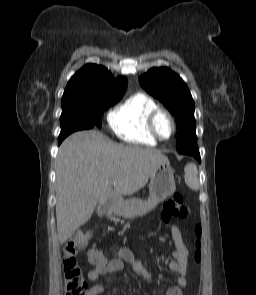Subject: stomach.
Masks as SVG:
<instances>
[{
	"instance_id": "obj_1",
	"label": "stomach",
	"mask_w": 256,
	"mask_h": 295,
	"mask_svg": "<svg viewBox=\"0 0 256 295\" xmlns=\"http://www.w3.org/2000/svg\"><path fill=\"white\" fill-rule=\"evenodd\" d=\"M176 190L174 170L169 160L161 162L149 183V198L145 201L132 199L119 203L113 212L117 216L134 218L153 210L160 202L171 196Z\"/></svg>"
}]
</instances>
